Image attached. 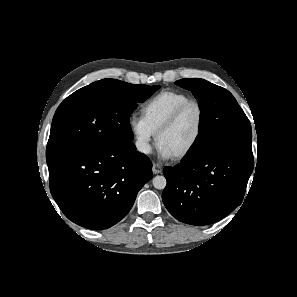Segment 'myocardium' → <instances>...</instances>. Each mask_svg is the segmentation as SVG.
Returning <instances> with one entry per match:
<instances>
[{
  "label": "myocardium",
  "instance_id": "1",
  "mask_svg": "<svg viewBox=\"0 0 297 297\" xmlns=\"http://www.w3.org/2000/svg\"><path fill=\"white\" fill-rule=\"evenodd\" d=\"M189 106H195L199 112L198 130H197L195 138L190 143V145L187 148H185L183 151H181L180 153L173 156L175 159H183V158L187 157L189 154H191L194 151V149L199 144V142L202 138L205 126H206V114H205V110H204L203 106L197 100H194V99H190V100L182 103L171 113V115L161 125V127L159 128V130L156 133V140L159 143L162 135L165 132H167L168 130H170L176 124V122L178 121V119L180 118L182 113Z\"/></svg>",
  "mask_w": 297,
  "mask_h": 297
}]
</instances>
